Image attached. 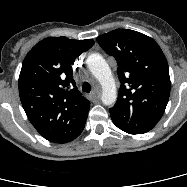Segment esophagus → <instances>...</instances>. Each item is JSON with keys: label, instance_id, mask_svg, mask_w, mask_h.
I'll return each mask as SVG.
<instances>
[{"label": "esophagus", "instance_id": "1", "mask_svg": "<svg viewBox=\"0 0 187 187\" xmlns=\"http://www.w3.org/2000/svg\"><path fill=\"white\" fill-rule=\"evenodd\" d=\"M100 98V92L99 91H93L92 93L89 94V99L91 101H96Z\"/></svg>", "mask_w": 187, "mask_h": 187}]
</instances>
